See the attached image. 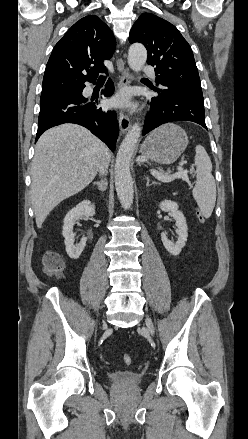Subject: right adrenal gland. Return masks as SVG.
<instances>
[{
	"label": "right adrenal gland",
	"instance_id": "obj_1",
	"mask_svg": "<svg viewBox=\"0 0 248 439\" xmlns=\"http://www.w3.org/2000/svg\"><path fill=\"white\" fill-rule=\"evenodd\" d=\"M93 185H96L98 187V190L103 192L107 189V179L105 178L104 180H101L99 182H94Z\"/></svg>",
	"mask_w": 248,
	"mask_h": 439
}]
</instances>
